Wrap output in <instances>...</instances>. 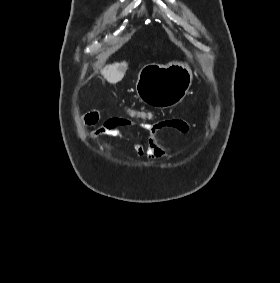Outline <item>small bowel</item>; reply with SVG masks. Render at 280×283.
I'll return each instance as SVG.
<instances>
[{"instance_id":"1","label":"small bowel","mask_w":280,"mask_h":283,"mask_svg":"<svg viewBox=\"0 0 280 283\" xmlns=\"http://www.w3.org/2000/svg\"><path fill=\"white\" fill-rule=\"evenodd\" d=\"M99 114L96 111L87 113L82 118V124L86 126L94 125L98 122ZM149 120V119H148ZM134 125L130 119H112L106 121L100 128H98L93 134L92 138L97 139L100 137H121L129 141L137 154L140 157L148 159H161L169 158L170 154L158 141V133L163 129H175L184 133L190 130V124L179 118H167L159 120L155 123H145L142 127L146 131V141L141 143L133 134L129 131V128Z\"/></svg>"}]
</instances>
